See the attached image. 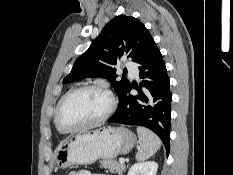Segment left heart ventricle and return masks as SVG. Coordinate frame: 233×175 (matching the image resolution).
<instances>
[{
    "instance_id": "1",
    "label": "left heart ventricle",
    "mask_w": 233,
    "mask_h": 175,
    "mask_svg": "<svg viewBox=\"0 0 233 175\" xmlns=\"http://www.w3.org/2000/svg\"><path fill=\"white\" fill-rule=\"evenodd\" d=\"M109 106L108 97L99 90H82L69 96L60 109L59 121L72 128L101 116Z\"/></svg>"
}]
</instances>
